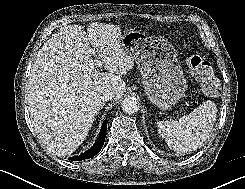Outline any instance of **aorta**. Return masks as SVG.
<instances>
[{"mask_svg":"<svg viewBox=\"0 0 245 189\" xmlns=\"http://www.w3.org/2000/svg\"><path fill=\"white\" fill-rule=\"evenodd\" d=\"M122 110L127 114H133L139 110V102L134 97H126L121 104Z\"/></svg>","mask_w":245,"mask_h":189,"instance_id":"obj_1","label":"aorta"}]
</instances>
